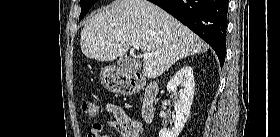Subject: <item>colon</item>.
Masks as SVG:
<instances>
[{
  "instance_id": "5ec220e1",
  "label": "colon",
  "mask_w": 280,
  "mask_h": 137,
  "mask_svg": "<svg viewBox=\"0 0 280 137\" xmlns=\"http://www.w3.org/2000/svg\"><path fill=\"white\" fill-rule=\"evenodd\" d=\"M82 108L84 112L89 115L90 117H96L100 113V107L98 102L92 101V100H87L84 101L82 104ZM129 132L131 133L132 136H136L139 132V126L136 122L134 121H129Z\"/></svg>"
}]
</instances>
